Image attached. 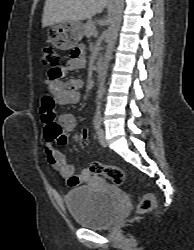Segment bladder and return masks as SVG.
<instances>
[{"label":"bladder","instance_id":"1","mask_svg":"<svg viewBox=\"0 0 194 250\" xmlns=\"http://www.w3.org/2000/svg\"><path fill=\"white\" fill-rule=\"evenodd\" d=\"M64 199L75 223L90 229L109 227L121 208V198L117 193L88 185L69 190Z\"/></svg>","mask_w":194,"mask_h":250}]
</instances>
